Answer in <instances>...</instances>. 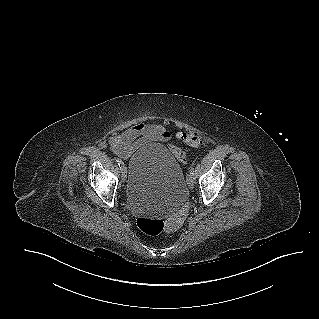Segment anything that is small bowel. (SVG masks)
<instances>
[{
	"mask_svg": "<svg viewBox=\"0 0 319 319\" xmlns=\"http://www.w3.org/2000/svg\"><path fill=\"white\" fill-rule=\"evenodd\" d=\"M171 136V132L161 125L139 122L124 132L114 131L110 133L107 138V145L118 157L126 160L151 141L167 142Z\"/></svg>",
	"mask_w": 319,
	"mask_h": 319,
	"instance_id": "small-bowel-1",
	"label": "small bowel"
}]
</instances>
